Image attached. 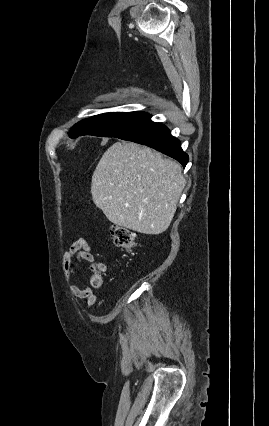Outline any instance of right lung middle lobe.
Listing matches in <instances>:
<instances>
[{"label": "right lung middle lobe", "instance_id": "dd1d6c3e", "mask_svg": "<svg viewBox=\"0 0 269 426\" xmlns=\"http://www.w3.org/2000/svg\"><path fill=\"white\" fill-rule=\"evenodd\" d=\"M149 116L145 112L104 113L77 123L71 133L73 137L94 135L118 138L134 130Z\"/></svg>", "mask_w": 269, "mask_h": 426}]
</instances>
